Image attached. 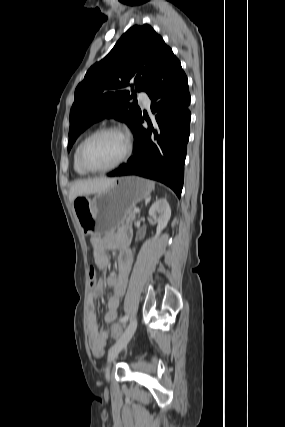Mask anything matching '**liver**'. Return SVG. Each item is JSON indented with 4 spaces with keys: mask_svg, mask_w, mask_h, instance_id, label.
<instances>
[{
    "mask_svg": "<svg viewBox=\"0 0 285 427\" xmlns=\"http://www.w3.org/2000/svg\"><path fill=\"white\" fill-rule=\"evenodd\" d=\"M116 178H94L74 182L69 191V200L73 202L78 196H88L107 189Z\"/></svg>",
    "mask_w": 285,
    "mask_h": 427,
    "instance_id": "1",
    "label": "liver"
}]
</instances>
